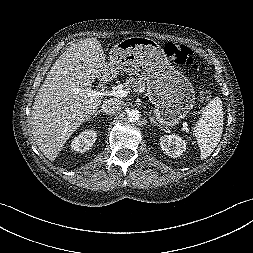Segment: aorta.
Wrapping results in <instances>:
<instances>
[{"label": "aorta", "mask_w": 253, "mask_h": 253, "mask_svg": "<svg viewBox=\"0 0 253 253\" xmlns=\"http://www.w3.org/2000/svg\"><path fill=\"white\" fill-rule=\"evenodd\" d=\"M127 117L130 122H137L140 119V112L136 109H133L128 112Z\"/></svg>", "instance_id": "762f6f07"}]
</instances>
